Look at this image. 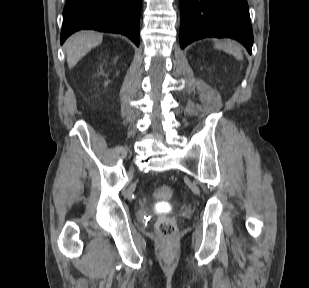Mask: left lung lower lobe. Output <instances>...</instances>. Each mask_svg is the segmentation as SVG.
I'll use <instances>...</instances> for the list:
<instances>
[{
  "mask_svg": "<svg viewBox=\"0 0 309 288\" xmlns=\"http://www.w3.org/2000/svg\"><path fill=\"white\" fill-rule=\"evenodd\" d=\"M180 45L205 37H230L251 54L253 32L247 0H180Z\"/></svg>",
  "mask_w": 309,
  "mask_h": 288,
  "instance_id": "obj_1",
  "label": "left lung lower lobe"
}]
</instances>
